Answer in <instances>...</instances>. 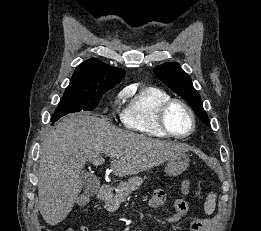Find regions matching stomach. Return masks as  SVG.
I'll list each match as a JSON object with an SVG mask.
<instances>
[{
    "label": "stomach",
    "mask_w": 261,
    "mask_h": 231,
    "mask_svg": "<svg viewBox=\"0 0 261 231\" xmlns=\"http://www.w3.org/2000/svg\"><path fill=\"white\" fill-rule=\"evenodd\" d=\"M189 161L187 154H177L168 160L164 171L168 176H178L187 169Z\"/></svg>",
    "instance_id": "0dacf381"
}]
</instances>
